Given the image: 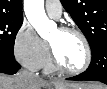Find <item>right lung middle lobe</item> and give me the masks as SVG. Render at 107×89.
Segmentation results:
<instances>
[{
  "label": "right lung middle lobe",
  "instance_id": "obj_1",
  "mask_svg": "<svg viewBox=\"0 0 107 89\" xmlns=\"http://www.w3.org/2000/svg\"><path fill=\"white\" fill-rule=\"evenodd\" d=\"M23 18L0 16V57L14 61V42Z\"/></svg>",
  "mask_w": 107,
  "mask_h": 89
}]
</instances>
